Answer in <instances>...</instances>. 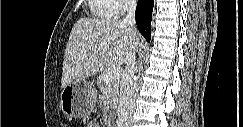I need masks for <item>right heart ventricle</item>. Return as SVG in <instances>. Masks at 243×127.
Returning <instances> with one entry per match:
<instances>
[{"mask_svg": "<svg viewBox=\"0 0 243 127\" xmlns=\"http://www.w3.org/2000/svg\"><path fill=\"white\" fill-rule=\"evenodd\" d=\"M115 4L112 0H91L90 9L92 14L101 20H111L114 17Z\"/></svg>", "mask_w": 243, "mask_h": 127, "instance_id": "1", "label": "right heart ventricle"}]
</instances>
